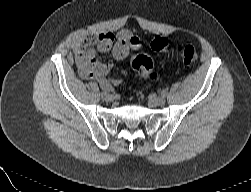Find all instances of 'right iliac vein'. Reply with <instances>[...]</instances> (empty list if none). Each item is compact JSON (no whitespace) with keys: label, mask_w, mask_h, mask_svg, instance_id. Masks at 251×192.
Listing matches in <instances>:
<instances>
[{"label":"right iliac vein","mask_w":251,"mask_h":192,"mask_svg":"<svg viewBox=\"0 0 251 192\" xmlns=\"http://www.w3.org/2000/svg\"><path fill=\"white\" fill-rule=\"evenodd\" d=\"M105 100L108 102H112L114 100V96L111 94H107L105 97Z\"/></svg>","instance_id":"obj_1"}]
</instances>
